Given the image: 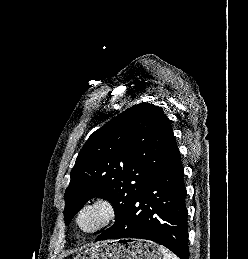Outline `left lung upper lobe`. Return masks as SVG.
Returning a JSON list of instances; mask_svg holds the SVG:
<instances>
[{
    "mask_svg": "<svg viewBox=\"0 0 248 259\" xmlns=\"http://www.w3.org/2000/svg\"><path fill=\"white\" fill-rule=\"evenodd\" d=\"M177 152L160 107L140 103L120 113L90 135L76 159L64 195L66 225L92 197L110 201L117 221Z\"/></svg>",
    "mask_w": 248,
    "mask_h": 259,
    "instance_id": "left-lung-upper-lobe-1",
    "label": "left lung upper lobe"
}]
</instances>
